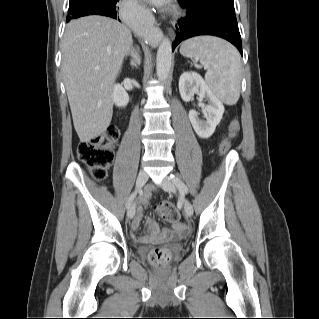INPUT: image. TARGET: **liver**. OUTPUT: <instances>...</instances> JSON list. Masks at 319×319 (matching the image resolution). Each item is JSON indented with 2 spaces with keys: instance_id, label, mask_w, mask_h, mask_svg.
I'll return each instance as SVG.
<instances>
[{
  "instance_id": "liver-1",
  "label": "liver",
  "mask_w": 319,
  "mask_h": 319,
  "mask_svg": "<svg viewBox=\"0 0 319 319\" xmlns=\"http://www.w3.org/2000/svg\"><path fill=\"white\" fill-rule=\"evenodd\" d=\"M132 43L131 31L108 17L92 15L67 24L61 70L81 142L100 136L110 125L112 88Z\"/></svg>"
}]
</instances>
